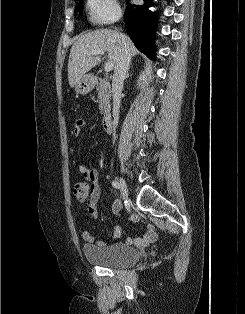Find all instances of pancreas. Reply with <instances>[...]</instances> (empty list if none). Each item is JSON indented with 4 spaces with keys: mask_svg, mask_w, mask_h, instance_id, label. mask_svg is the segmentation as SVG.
Listing matches in <instances>:
<instances>
[{
    "mask_svg": "<svg viewBox=\"0 0 245 314\" xmlns=\"http://www.w3.org/2000/svg\"><path fill=\"white\" fill-rule=\"evenodd\" d=\"M96 91L98 92L99 98V110L101 111V114H104L105 111L110 107V85L105 79H99V83L96 86Z\"/></svg>",
    "mask_w": 245,
    "mask_h": 314,
    "instance_id": "obj_1",
    "label": "pancreas"
}]
</instances>
